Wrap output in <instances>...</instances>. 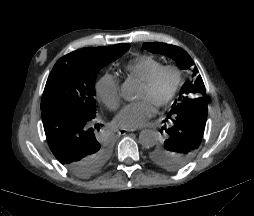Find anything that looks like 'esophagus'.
I'll return each instance as SVG.
<instances>
[{"instance_id": "obj_1", "label": "esophagus", "mask_w": 254, "mask_h": 216, "mask_svg": "<svg viewBox=\"0 0 254 216\" xmlns=\"http://www.w3.org/2000/svg\"><path fill=\"white\" fill-rule=\"evenodd\" d=\"M131 131H135V129H131V130H121V131H119V134L125 135L127 132H131Z\"/></svg>"}]
</instances>
